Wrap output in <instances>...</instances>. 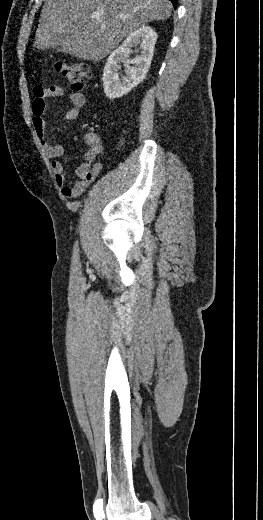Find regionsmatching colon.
<instances>
[{
  "instance_id": "1",
  "label": "colon",
  "mask_w": 263,
  "mask_h": 520,
  "mask_svg": "<svg viewBox=\"0 0 263 520\" xmlns=\"http://www.w3.org/2000/svg\"><path fill=\"white\" fill-rule=\"evenodd\" d=\"M55 69L62 74L74 91H81L86 87L91 77V71L88 65L84 63H66L56 62Z\"/></svg>"
}]
</instances>
